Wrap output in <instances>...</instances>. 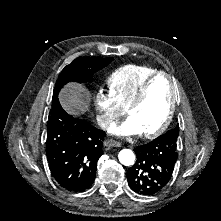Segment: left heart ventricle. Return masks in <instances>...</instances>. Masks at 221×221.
Listing matches in <instances>:
<instances>
[{
  "label": "left heart ventricle",
  "instance_id": "left-heart-ventricle-1",
  "mask_svg": "<svg viewBox=\"0 0 221 221\" xmlns=\"http://www.w3.org/2000/svg\"><path fill=\"white\" fill-rule=\"evenodd\" d=\"M171 89L167 78L159 77L150 86L143 103L130 113L140 133L158 128L169 110Z\"/></svg>",
  "mask_w": 221,
  "mask_h": 221
}]
</instances>
